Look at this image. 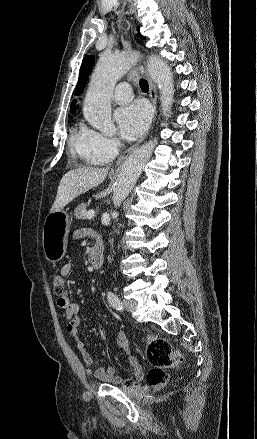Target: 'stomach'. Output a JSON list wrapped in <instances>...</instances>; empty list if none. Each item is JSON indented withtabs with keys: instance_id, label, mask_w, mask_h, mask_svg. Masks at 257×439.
<instances>
[{
	"instance_id": "0dacf381",
	"label": "stomach",
	"mask_w": 257,
	"mask_h": 439,
	"mask_svg": "<svg viewBox=\"0 0 257 439\" xmlns=\"http://www.w3.org/2000/svg\"><path fill=\"white\" fill-rule=\"evenodd\" d=\"M71 220L65 210L50 212L43 226V250L48 261L55 263L63 258Z\"/></svg>"
}]
</instances>
